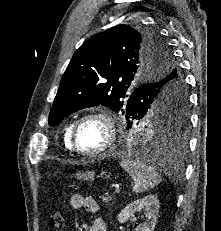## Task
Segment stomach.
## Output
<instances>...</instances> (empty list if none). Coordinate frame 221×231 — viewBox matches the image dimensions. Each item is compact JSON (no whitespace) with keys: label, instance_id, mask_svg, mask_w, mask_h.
<instances>
[{"label":"stomach","instance_id":"obj_1","mask_svg":"<svg viewBox=\"0 0 221 231\" xmlns=\"http://www.w3.org/2000/svg\"><path fill=\"white\" fill-rule=\"evenodd\" d=\"M145 133V132H142ZM105 172L101 173V176L105 175ZM76 176L80 179H84V180H94V176H95V172L94 171H89L87 170L86 172H79L76 174ZM109 177V176H108Z\"/></svg>","mask_w":221,"mask_h":231}]
</instances>
